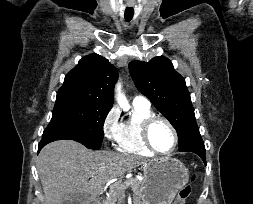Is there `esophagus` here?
I'll return each instance as SVG.
<instances>
[{
    "mask_svg": "<svg viewBox=\"0 0 253 204\" xmlns=\"http://www.w3.org/2000/svg\"><path fill=\"white\" fill-rule=\"evenodd\" d=\"M128 6H132V4L129 3Z\"/></svg>",
    "mask_w": 253,
    "mask_h": 204,
    "instance_id": "obj_1",
    "label": "esophagus"
}]
</instances>
